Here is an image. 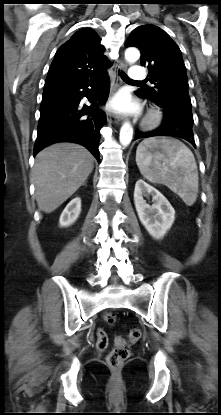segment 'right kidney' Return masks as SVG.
<instances>
[{
    "label": "right kidney",
    "mask_w": 221,
    "mask_h": 415,
    "mask_svg": "<svg viewBox=\"0 0 221 415\" xmlns=\"http://www.w3.org/2000/svg\"><path fill=\"white\" fill-rule=\"evenodd\" d=\"M80 212L81 199L77 197L71 200L69 204L66 206V208L63 210L59 220L60 226L67 227L73 224L79 217Z\"/></svg>",
    "instance_id": "obj_1"
}]
</instances>
